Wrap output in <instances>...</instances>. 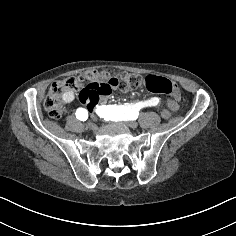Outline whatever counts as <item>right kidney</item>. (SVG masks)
I'll use <instances>...</instances> for the list:
<instances>
[{"label": "right kidney", "instance_id": "ca27d5eb", "mask_svg": "<svg viewBox=\"0 0 236 236\" xmlns=\"http://www.w3.org/2000/svg\"><path fill=\"white\" fill-rule=\"evenodd\" d=\"M75 99V92L74 91H66L62 94L61 98H57L55 100V107L57 109H64L66 104L73 102Z\"/></svg>", "mask_w": 236, "mask_h": 236}]
</instances>
